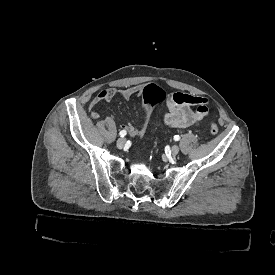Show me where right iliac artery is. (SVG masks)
Listing matches in <instances>:
<instances>
[{
  "instance_id": "82829eb1",
  "label": "right iliac artery",
  "mask_w": 275,
  "mask_h": 275,
  "mask_svg": "<svg viewBox=\"0 0 275 275\" xmlns=\"http://www.w3.org/2000/svg\"><path fill=\"white\" fill-rule=\"evenodd\" d=\"M126 134H127V132H126L125 130H122V131H120V133H119V135H120L121 137H124Z\"/></svg>"
}]
</instances>
